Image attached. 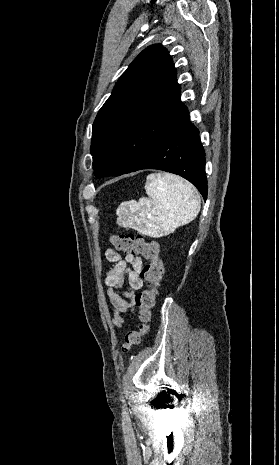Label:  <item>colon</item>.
Instances as JSON below:
<instances>
[{"label":"colon","instance_id":"colon-1","mask_svg":"<svg viewBox=\"0 0 279 465\" xmlns=\"http://www.w3.org/2000/svg\"><path fill=\"white\" fill-rule=\"evenodd\" d=\"M110 241L118 250L141 255L148 261L141 271V276L147 282L148 287L135 296V304L139 308L140 325L137 330H129L124 335L123 351L128 352L150 331L152 308L163 277L164 265L160 257L159 245L154 241H146L141 235L114 234L110 237Z\"/></svg>","mask_w":279,"mask_h":465}]
</instances>
